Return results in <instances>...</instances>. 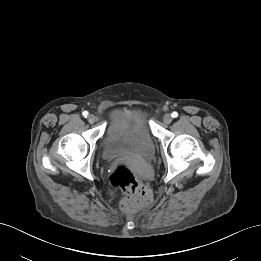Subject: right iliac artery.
I'll use <instances>...</instances> for the list:
<instances>
[{
	"label": "right iliac artery",
	"mask_w": 261,
	"mask_h": 261,
	"mask_svg": "<svg viewBox=\"0 0 261 261\" xmlns=\"http://www.w3.org/2000/svg\"><path fill=\"white\" fill-rule=\"evenodd\" d=\"M88 112L87 111H83L82 115L86 118L88 116Z\"/></svg>",
	"instance_id": "1"
}]
</instances>
